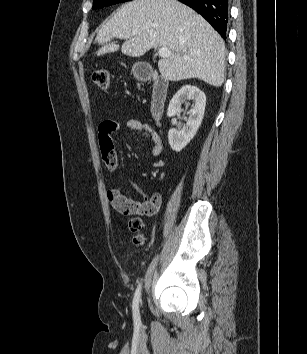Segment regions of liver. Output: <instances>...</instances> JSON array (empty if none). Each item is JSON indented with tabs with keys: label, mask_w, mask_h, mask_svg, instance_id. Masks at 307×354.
<instances>
[{
	"label": "liver",
	"mask_w": 307,
	"mask_h": 354,
	"mask_svg": "<svg viewBox=\"0 0 307 354\" xmlns=\"http://www.w3.org/2000/svg\"><path fill=\"white\" fill-rule=\"evenodd\" d=\"M125 39L124 55L140 57L151 48L171 55L158 62L170 81L198 78L220 87L224 81L225 44L199 14L176 0H133L124 4L97 34V56L119 50L112 39Z\"/></svg>",
	"instance_id": "obj_1"
}]
</instances>
